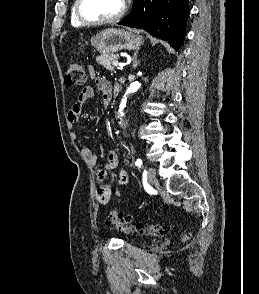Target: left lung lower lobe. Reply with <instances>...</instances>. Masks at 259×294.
Here are the masks:
<instances>
[{"mask_svg": "<svg viewBox=\"0 0 259 294\" xmlns=\"http://www.w3.org/2000/svg\"><path fill=\"white\" fill-rule=\"evenodd\" d=\"M189 17L188 0H134L131 13L119 25L146 30L179 48Z\"/></svg>", "mask_w": 259, "mask_h": 294, "instance_id": "1", "label": "left lung lower lobe"}]
</instances>
